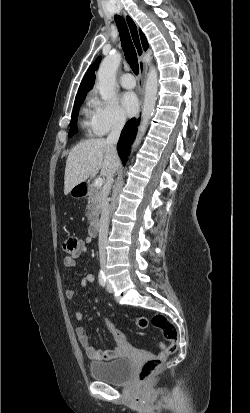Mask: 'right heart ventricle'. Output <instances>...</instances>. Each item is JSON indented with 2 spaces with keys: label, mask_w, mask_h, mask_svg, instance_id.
Here are the masks:
<instances>
[{
  "label": "right heart ventricle",
  "mask_w": 250,
  "mask_h": 413,
  "mask_svg": "<svg viewBox=\"0 0 250 413\" xmlns=\"http://www.w3.org/2000/svg\"><path fill=\"white\" fill-rule=\"evenodd\" d=\"M82 121H81V125L82 128L85 130L87 135H92L95 133L94 128H93V123H92V111L90 108V104H86L83 108H82Z\"/></svg>",
  "instance_id": "1"
}]
</instances>
